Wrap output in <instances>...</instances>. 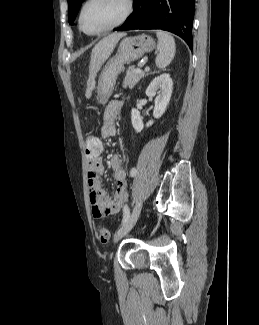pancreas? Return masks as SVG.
<instances>
[{"mask_svg": "<svg viewBox=\"0 0 259 325\" xmlns=\"http://www.w3.org/2000/svg\"><path fill=\"white\" fill-rule=\"evenodd\" d=\"M144 75V72L137 73L134 67H130L123 81V87L132 89L140 81V79L144 77Z\"/></svg>", "mask_w": 259, "mask_h": 325, "instance_id": "pancreas-1", "label": "pancreas"}]
</instances>
